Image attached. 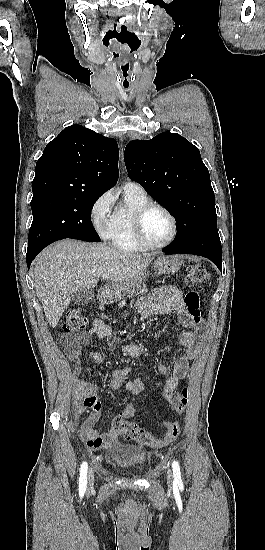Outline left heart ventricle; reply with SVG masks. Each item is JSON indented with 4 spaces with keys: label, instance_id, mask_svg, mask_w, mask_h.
Segmentation results:
<instances>
[{
    "label": "left heart ventricle",
    "instance_id": "obj_1",
    "mask_svg": "<svg viewBox=\"0 0 265 550\" xmlns=\"http://www.w3.org/2000/svg\"><path fill=\"white\" fill-rule=\"evenodd\" d=\"M171 230V221L163 211L153 209L146 215L144 234L150 243L161 244L165 242L169 238Z\"/></svg>",
    "mask_w": 265,
    "mask_h": 550
}]
</instances>
